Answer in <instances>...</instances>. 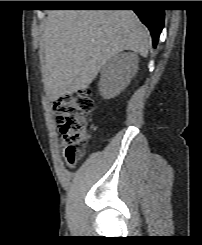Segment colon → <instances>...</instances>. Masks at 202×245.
<instances>
[{"instance_id":"5ec220e1","label":"colon","mask_w":202,"mask_h":245,"mask_svg":"<svg viewBox=\"0 0 202 245\" xmlns=\"http://www.w3.org/2000/svg\"><path fill=\"white\" fill-rule=\"evenodd\" d=\"M94 108L90 90H80L64 95L55 103L61 136L66 143L64 156L70 164L76 163L84 154L91 135V113Z\"/></svg>"}]
</instances>
